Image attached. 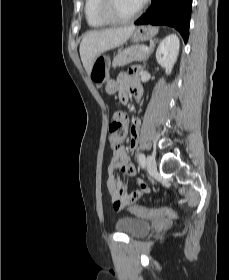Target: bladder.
Segmentation results:
<instances>
[{
  "instance_id": "31cf9c89",
  "label": "bladder",
  "mask_w": 229,
  "mask_h": 280,
  "mask_svg": "<svg viewBox=\"0 0 229 280\" xmlns=\"http://www.w3.org/2000/svg\"><path fill=\"white\" fill-rule=\"evenodd\" d=\"M116 229L129 237H142L150 233L153 228L146 219L122 217L116 221Z\"/></svg>"
}]
</instances>
